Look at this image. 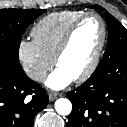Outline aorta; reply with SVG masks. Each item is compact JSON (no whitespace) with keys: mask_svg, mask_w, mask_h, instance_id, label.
<instances>
[{"mask_svg":"<svg viewBox=\"0 0 127 127\" xmlns=\"http://www.w3.org/2000/svg\"><path fill=\"white\" fill-rule=\"evenodd\" d=\"M55 110L59 115L66 116L72 111V104L67 98H60L55 102Z\"/></svg>","mask_w":127,"mask_h":127,"instance_id":"obj_1","label":"aorta"}]
</instances>
